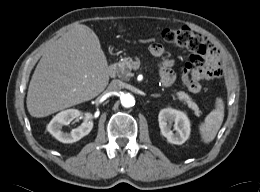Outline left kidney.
Masks as SVG:
<instances>
[{"instance_id": "left-kidney-1", "label": "left kidney", "mask_w": 260, "mask_h": 192, "mask_svg": "<svg viewBox=\"0 0 260 192\" xmlns=\"http://www.w3.org/2000/svg\"><path fill=\"white\" fill-rule=\"evenodd\" d=\"M161 133L172 144H183L190 135V122L182 111L172 108L162 109L158 116ZM174 123V124H173ZM173 125V130L171 129Z\"/></svg>"}]
</instances>
